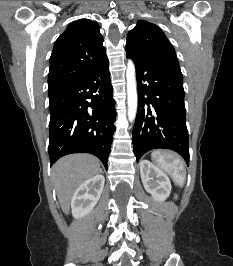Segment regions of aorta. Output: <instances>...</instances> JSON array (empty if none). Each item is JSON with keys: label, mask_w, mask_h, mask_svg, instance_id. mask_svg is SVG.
Listing matches in <instances>:
<instances>
[{"label": "aorta", "mask_w": 233, "mask_h": 266, "mask_svg": "<svg viewBox=\"0 0 233 266\" xmlns=\"http://www.w3.org/2000/svg\"><path fill=\"white\" fill-rule=\"evenodd\" d=\"M127 104H128V118L133 121L136 117L138 107V93L135 65L131 60H128L127 71Z\"/></svg>", "instance_id": "aorta-1"}]
</instances>
